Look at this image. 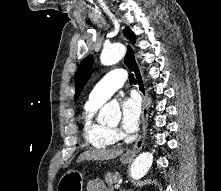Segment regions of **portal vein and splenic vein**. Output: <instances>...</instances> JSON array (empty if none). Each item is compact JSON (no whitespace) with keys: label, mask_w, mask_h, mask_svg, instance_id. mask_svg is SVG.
Instances as JSON below:
<instances>
[{"label":"portal vein and splenic vein","mask_w":221,"mask_h":191,"mask_svg":"<svg viewBox=\"0 0 221 191\" xmlns=\"http://www.w3.org/2000/svg\"><path fill=\"white\" fill-rule=\"evenodd\" d=\"M120 187V183L115 185V188H119Z\"/></svg>","instance_id":"portal-vein-and-splenic-vein-1"}]
</instances>
